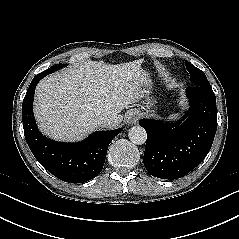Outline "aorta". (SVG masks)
Wrapping results in <instances>:
<instances>
[{
  "instance_id": "762f6f07",
  "label": "aorta",
  "mask_w": 239,
  "mask_h": 239,
  "mask_svg": "<svg viewBox=\"0 0 239 239\" xmlns=\"http://www.w3.org/2000/svg\"><path fill=\"white\" fill-rule=\"evenodd\" d=\"M129 140L135 145H142L146 142L147 133L141 126H133L129 129Z\"/></svg>"
}]
</instances>
